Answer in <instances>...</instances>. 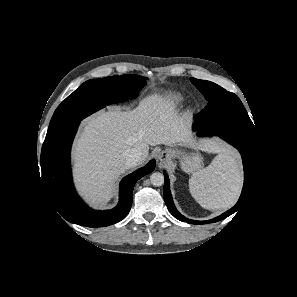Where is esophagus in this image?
<instances>
[{
  "label": "esophagus",
  "mask_w": 297,
  "mask_h": 297,
  "mask_svg": "<svg viewBox=\"0 0 297 297\" xmlns=\"http://www.w3.org/2000/svg\"><path fill=\"white\" fill-rule=\"evenodd\" d=\"M171 157V151L170 150H164L158 155V159L161 162H165Z\"/></svg>",
  "instance_id": "34e87169"
}]
</instances>
